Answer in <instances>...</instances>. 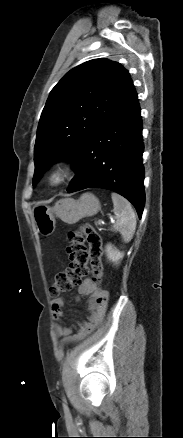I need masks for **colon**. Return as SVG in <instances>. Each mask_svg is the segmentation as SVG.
I'll return each mask as SVG.
<instances>
[{
    "mask_svg": "<svg viewBox=\"0 0 183 438\" xmlns=\"http://www.w3.org/2000/svg\"><path fill=\"white\" fill-rule=\"evenodd\" d=\"M67 253L70 264L66 271L58 273L50 287V293L56 297L70 291L84 277L91 273L92 282L98 290L102 277L101 238L89 224L71 231L68 235ZM90 264V267H89Z\"/></svg>",
    "mask_w": 183,
    "mask_h": 438,
    "instance_id": "obj_1",
    "label": "colon"
}]
</instances>
